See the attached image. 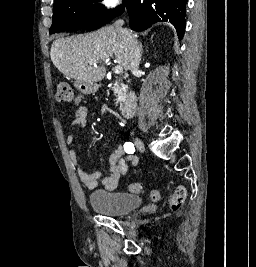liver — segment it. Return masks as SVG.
I'll return each mask as SVG.
<instances>
[{"label": "liver", "instance_id": "1", "mask_svg": "<svg viewBox=\"0 0 256 267\" xmlns=\"http://www.w3.org/2000/svg\"><path fill=\"white\" fill-rule=\"evenodd\" d=\"M130 36L131 40H135L133 34ZM129 48L128 36L120 34L114 26H105L91 34L55 40L50 58L57 70L68 78L79 82H101L106 76L103 62L112 56H115L118 66L129 70Z\"/></svg>", "mask_w": 256, "mask_h": 267}]
</instances>
